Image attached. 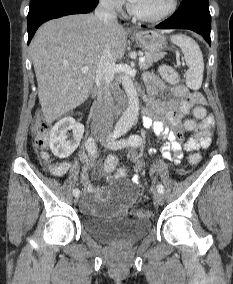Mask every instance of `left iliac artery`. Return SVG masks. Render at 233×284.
Returning <instances> with one entry per match:
<instances>
[{
	"label": "left iliac artery",
	"mask_w": 233,
	"mask_h": 284,
	"mask_svg": "<svg viewBox=\"0 0 233 284\" xmlns=\"http://www.w3.org/2000/svg\"><path fill=\"white\" fill-rule=\"evenodd\" d=\"M124 134H125V130L123 129H116L113 131V133L109 137V140L112 141L110 142V147L112 149H121V148L128 147V146L138 147L141 145L142 140L137 135H132L128 139L118 140ZM157 191L160 193H164V187L162 184L157 185Z\"/></svg>",
	"instance_id": "1"
}]
</instances>
